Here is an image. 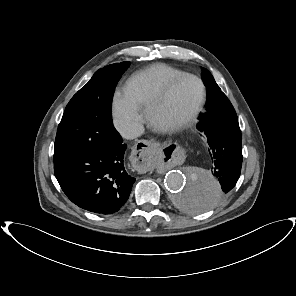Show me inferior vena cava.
Masks as SVG:
<instances>
[{"label":"inferior vena cava","mask_w":296,"mask_h":296,"mask_svg":"<svg viewBox=\"0 0 296 296\" xmlns=\"http://www.w3.org/2000/svg\"><path fill=\"white\" fill-rule=\"evenodd\" d=\"M144 132V128L139 123H132L120 129V134L125 139H135L142 135Z\"/></svg>","instance_id":"602c4592"}]
</instances>
